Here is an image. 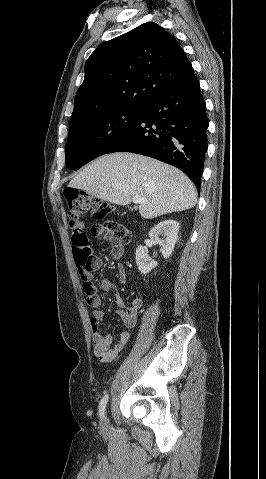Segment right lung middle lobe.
<instances>
[{"label":"right lung middle lobe","instance_id":"1","mask_svg":"<svg viewBox=\"0 0 266 479\" xmlns=\"http://www.w3.org/2000/svg\"><path fill=\"white\" fill-rule=\"evenodd\" d=\"M143 107L121 108L70 121L65 154L71 170L103 155L139 119Z\"/></svg>","mask_w":266,"mask_h":479}]
</instances>
